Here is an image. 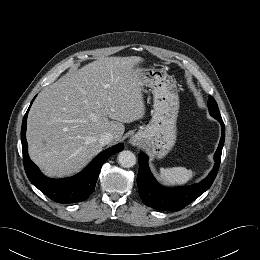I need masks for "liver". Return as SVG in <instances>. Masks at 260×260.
I'll use <instances>...</instances> for the list:
<instances>
[{
	"mask_svg": "<svg viewBox=\"0 0 260 260\" xmlns=\"http://www.w3.org/2000/svg\"><path fill=\"white\" fill-rule=\"evenodd\" d=\"M141 62L137 56L101 58L37 96L26 137L29 156L44 174L65 177L79 172L102 149L101 134L112 133L111 142L117 143L125 131L123 123L143 117V83L134 68Z\"/></svg>",
	"mask_w": 260,
	"mask_h": 260,
	"instance_id": "6515ba94",
	"label": "liver"
}]
</instances>
